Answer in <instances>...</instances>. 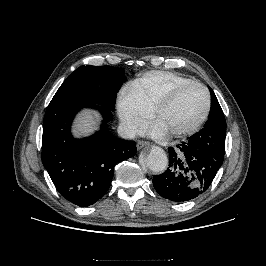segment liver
Masks as SVG:
<instances>
[{"mask_svg":"<svg viewBox=\"0 0 266 266\" xmlns=\"http://www.w3.org/2000/svg\"><path fill=\"white\" fill-rule=\"evenodd\" d=\"M76 133L78 135L87 136L98 129L97 115L90 111L82 112L76 119Z\"/></svg>","mask_w":266,"mask_h":266,"instance_id":"obj_1","label":"liver"}]
</instances>
